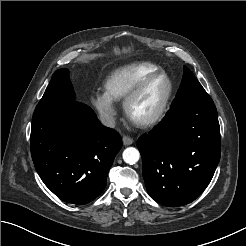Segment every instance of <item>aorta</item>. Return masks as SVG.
<instances>
[{
  "label": "aorta",
  "instance_id": "762f6f07",
  "mask_svg": "<svg viewBox=\"0 0 246 246\" xmlns=\"http://www.w3.org/2000/svg\"><path fill=\"white\" fill-rule=\"evenodd\" d=\"M123 160L130 165H133L138 162L140 158L139 151L134 147H128L123 151Z\"/></svg>",
  "mask_w": 246,
  "mask_h": 246
}]
</instances>
